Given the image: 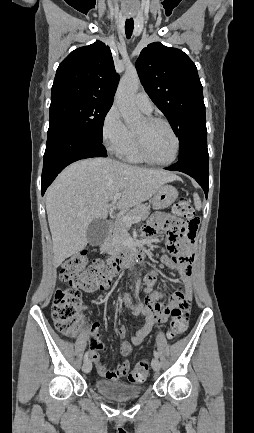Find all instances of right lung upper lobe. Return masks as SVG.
Returning a JSON list of instances; mask_svg holds the SVG:
<instances>
[{
  "label": "right lung upper lobe",
  "mask_w": 254,
  "mask_h": 433,
  "mask_svg": "<svg viewBox=\"0 0 254 433\" xmlns=\"http://www.w3.org/2000/svg\"><path fill=\"white\" fill-rule=\"evenodd\" d=\"M118 81L110 48L96 41L72 51L59 65L51 105L72 99L112 105Z\"/></svg>",
  "instance_id": "1"
}]
</instances>
